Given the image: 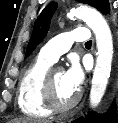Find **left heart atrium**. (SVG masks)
I'll list each match as a JSON object with an SVG mask.
<instances>
[{"label":"left heart atrium","instance_id":"obj_1","mask_svg":"<svg viewBox=\"0 0 118 123\" xmlns=\"http://www.w3.org/2000/svg\"><path fill=\"white\" fill-rule=\"evenodd\" d=\"M64 77L71 89L77 91L80 88L84 80V72L77 60H71L68 69L64 72Z\"/></svg>","mask_w":118,"mask_h":123}]
</instances>
